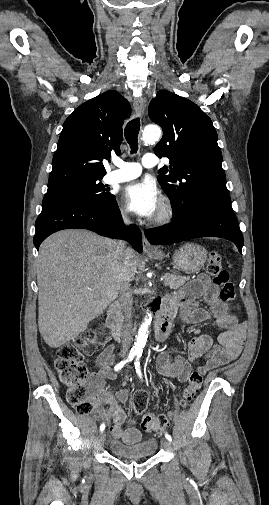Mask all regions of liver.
Returning a JSON list of instances; mask_svg holds the SVG:
<instances>
[{
  "label": "liver",
  "instance_id": "liver-1",
  "mask_svg": "<svg viewBox=\"0 0 269 505\" xmlns=\"http://www.w3.org/2000/svg\"><path fill=\"white\" fill-rule=\"evenodd\" d=\"M117 242L87 230H63L48 237L37 259L38 327L58 348L85 330L137 272L133 249L123 259Z\"/></svg>",
  "mask_w": 269,
  "mask_h": 505
}]
</instances>
